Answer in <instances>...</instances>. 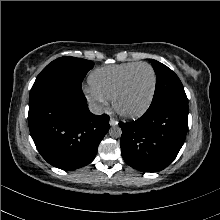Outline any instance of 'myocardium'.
<instances>
[{
    "label": "myocardium",
    "instance_id": "obj_1",
    "mask_svg": "<svg viewBox=\"0 0 220 220\" xmlns=\"http://www.w3.org/2000/svg\"><path fill=\"white\" fill-rule=\"evenodd\" d=\"M142 66L149 68L151 73H152V89H151L149 98H148L147 102L145 103V105L137 111H134V112L122 111L118 107V99L121 96V94L124 92L130 76L133 74V72L137 68L142 67ZM156 86H157V75H156V72H155L154 68L150 64L145 63V62H141V63L136 64L133 68H131L125 74V76L121 80L120 84L118 85L117 89L115 90V92L112 96L111 100H112V106H113L114 110L123 118L136 119V118L141 117L142 115H144L147 112V110L150 108V106L153 102L155 92H156Z\"/></svg>",
    "mask_w": 220,
    "mask_h": 220
}]
</instances>
